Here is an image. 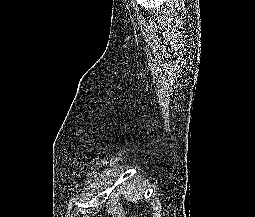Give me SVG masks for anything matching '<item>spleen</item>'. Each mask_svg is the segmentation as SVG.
<instances>
[{"instance_id":"1","label":"spleen","mask_w":255,"mask_h":217,"mask_svg":"<svg viewBox=\"0 0 255 217\" xmlns=\"http://www.w3.org/2000/svg\"><path fill=\"white\" fill-rule=\"evenodd\" d=\"M121 193L127 201L132 203H137L143 196V191L136 187L135 183H126L122 187Z\"/></svg>"}]
</instances>
